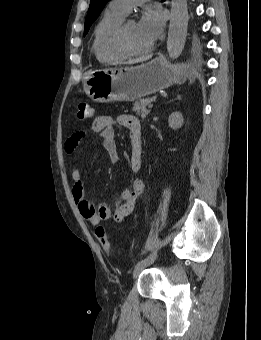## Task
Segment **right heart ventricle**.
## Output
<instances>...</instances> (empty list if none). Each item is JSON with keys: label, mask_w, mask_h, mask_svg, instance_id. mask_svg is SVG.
Here are the masks:
<instances>
[{"label": "right heart ventricle", "mask_w": 261, "mask_h": 340, "mask_svg": "<svg viewBox=\"0 0 261 340\" xmlns=\"http://www.w3.org/2000/svg\"><path fill=\"white\" fill-rule=\"evenodd\" d=\"M124 17L121 12L108 7L98 22L94 31L92 51L100 63L109 64L126 58L115 46V35Z\"/></svg>", "instance_id": "right-heart-ventricle-1"}]
</instances>
